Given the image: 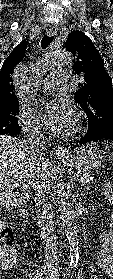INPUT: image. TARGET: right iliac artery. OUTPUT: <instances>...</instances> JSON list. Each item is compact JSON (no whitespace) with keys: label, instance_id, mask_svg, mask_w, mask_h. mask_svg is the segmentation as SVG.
<instances>
[{"label":"right iliac artery","instance_id":"right-iliac-artery-1","mask_svg":"<svg viewBox=\"0 0 113 279\" xmlns=\"http://www.w3.org/2000/svg\"><path fill=\"white\" fill-rule=\"evenodd\" d=\"M35 277H36V273L34 272V273H32V274H30L28 277H26V278H28V279H35Z\"/></svg>","mask_w":113,"mask_h":279}]
</instances>
